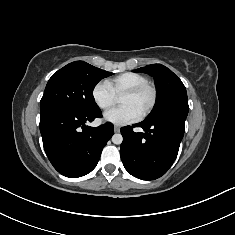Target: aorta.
Masks as SVG:
<instances>
[{"label":"aorta","mask_w":235,"mask_h":235,"mask_svg":"<svg viewBox=\"0 0 235 235\" xmlns=\"http://www.w3.org/2000/svg\"><path fill=\"white\" fill-rule=\"evenodd\" d=\"M122 141H123V137H122L121 134L118 133V134H114V135L112 136V142H113L114 144L119 145V144L122 143Z\"/></svg>","instance_id":"aorta-1"}]
</instances>
